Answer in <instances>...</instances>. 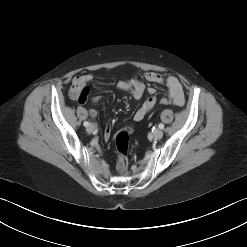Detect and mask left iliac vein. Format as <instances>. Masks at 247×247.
<instances>
[{"mask_svg": "<svg viewBox=\"0 0 247 247\" xmlns=\"http://www.w3.org/2000/svg\"><path fill=\"white\" fill-rule=\"evenodd\" d=\"M163 131L161 129H156L154 132H153V137L156 138V139H160L162 138L163 136Z\"/></svg>", "mask_w": 247, "mask_h": 247, "instance_id": "4c4485c4", "label": "left iliac vein"}]
</instances>
